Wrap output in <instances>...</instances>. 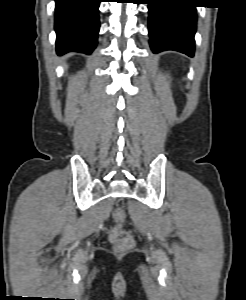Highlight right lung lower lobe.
<instances>
[{
    "label": "right lung lower lobe",
    "mask_w": 246,
    "mask_h": 300,
    "mask_svg": "<svg viewBox=\"0 0 246 300\" xmlns=\"http://www.w3.org/2000/svg\"><path fill=\"white\" fill-rule=\"evenodd\" d=\"M56 50L58 55L76 51L91 54L100 28L101 0H55Z\"/></svg>",
    "instance_id": "98d812e1"
}]
</instances>
